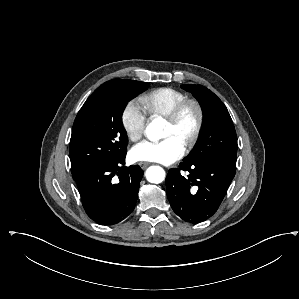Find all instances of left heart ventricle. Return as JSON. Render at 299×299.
Listing matches in <instances>:
<instances>
[{"instance_id": "obj_1", "label": "left heart ventricle", "mask_w": 299, "mask_h": 299, "mask_svg": "<svg viewBox=\"0 0 299 299\" xmlns=\"http://www.w3.org/2000/svg\"><path fill=\"white\" fill-rule=\"evenodd\" d=\"M196 122L197 113L194 108H189L177 125L166 122L162 138L174 137L181 144L185 145L195 130Z\"/></svg>"}]
</instances>
